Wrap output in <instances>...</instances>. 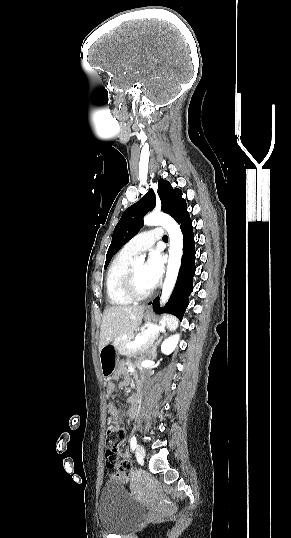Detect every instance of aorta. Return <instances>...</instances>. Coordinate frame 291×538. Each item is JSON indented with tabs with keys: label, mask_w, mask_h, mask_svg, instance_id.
I'll return each mask as SVG.
<instances>
[{
	"label": "aorta",
	"mask_w": 291,
	"mask_h": 538,
	"mask_svg": "<svg viewBox=\"0 0 291 538\" xmlns=\"http://www.w3.org/2000/svg\"><path fill=\"white\" fill-rule=\"evenodd\" d=\"M144 224L148 226L161 225L169 234V259L161 294V304H165L172 293L180 268L183 247L182 232L175 220L171 216L162 212H152L147 214L144 217ZM144 261L145 256L141 255L134 261V265L137 267L142 266Z\"/></svg>",
	"instance_id": "1"
}]
</instances>
